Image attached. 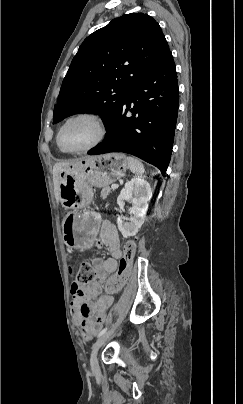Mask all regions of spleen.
<instances>
[{
    "label": "spleen",
    "mask_w": 243,
    "mask_h": 404,
    "mask_svg": "<svg viewBox=\"0 0 243 404\" xmlns=\"http://www.w3.org/2000/svg\"><path fill=\"white\" fill-rule=\"evenodd\" d=\"M127 164L132 174H136V176H142V174H144V166L140 160H136V158H127Z\"/></svg>",
    "instance_id": "3e777b00"
}]
</instances>
